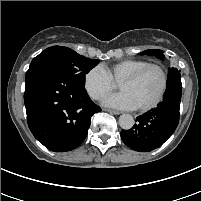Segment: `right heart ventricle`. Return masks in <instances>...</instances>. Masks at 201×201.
I'll list each match as a JSON object with an SVG mask.
<instances>
[{"instance_id":"1","label":"right heart ventricle","mask_w":201,"mask_h":201,"mask_svg":"<svg viewBox=\"0 0 201 201\" xmlns=\"http://www.w3.org/2000/svg\"><path fill=\"white\" fill-rule=\"evenodd\" d=\"M149 64L144 60H122L111 66L103 65L110 78L119 83L123 78L138 70L139 68Z\"/></svg>"}]
</instances>
